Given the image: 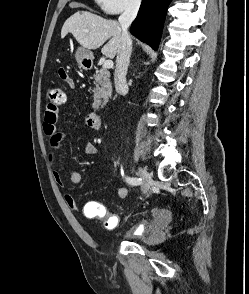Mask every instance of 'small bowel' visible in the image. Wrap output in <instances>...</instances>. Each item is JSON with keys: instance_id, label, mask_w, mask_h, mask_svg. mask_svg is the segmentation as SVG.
Wrapping results in <instances>:
<instances>
[{"instance_id": "1", "label": "small bowel", "mask_w": 249, "mask_h": 294, "mask_svg": "<svg viewBox=\"0 0 249 294\" xmlns=\"http://www.w3.org/2000/svg\"><path fill=\"white\" fill-rule=\"evenodd\" d=\"M59 76L62 81H64L71 88H74V85H75L74 81L69 75H67L66 73L62 75L59 72ZM58 119H59V107L47 105L43 115L42 128L46 136L49 138V147L51 149L50 160L52 161L53 165H55V162H56L55 153L61 149L62 140L66 136V134L60 131L58 128ZM85 124L89 128H94L93 123L90 121L89 115L86 116L85 118ZM84 152L87 155H94L98 152V146L95 143L88 141L85 144ZM52 176L55 183L58 186L60 187L65 186V181L62 174L55 167L52 170ZM68 176L72 184L80 185L82 183V176L79 171L70 170L68 173ZM116 194L120 200H124L128 195V190L124 187H118L116 189ZM64 200L69 209L81 214L83 217L87 219L102 220L103 226L106 229L112 230V229H115L118 225V222H119L118 215L106 212L105 207L97 201H94V200L87 201L85 202L83 207L80 208L72 195L66 193L64 195ZM164 213H165L164 210L158 209L155 212V215L157 218H159Z\"/></svg>"}]
</instances>
